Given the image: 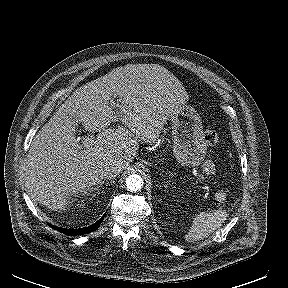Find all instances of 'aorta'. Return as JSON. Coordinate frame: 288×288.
<instances>
[{
	"label": "aorta",
	"mask_w": 288,
	"mask_h": 288,
	"mask_svg": "<svg viewBox=\"0 0 288 288\" xmlns=\"http://www.w3.org/2000/svg\"><path fill=\"white\" fill-rule=\"evenodd\" d=\"M143 183L142 177L138 174H132L126 178V187L132 192L140 191L143 187Z\"/></svg>",
	"instance_id": "aorta-1"
}]
</instances>
